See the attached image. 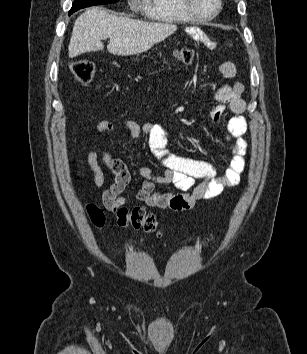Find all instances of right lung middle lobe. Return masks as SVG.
Returning <instances> with one entry per match:
<instances>
[{
	"label": "right lung middle lobe",
	"instance_id": "1",
	"mask_svg": "<svg viewBox=\"0 0 307 354\" xmlns=\"http://www.w3.org/2000/svg\"><path fill=\"white\" fill-rule=\"evenodd\" d=\"M118 0H75L73 2L72 8L69 11V15H71L73 12L85 8V7H89V6H93V5H100V4H109V3H115Z\"/></svg>",
	"mask_w": 307,
	"mask_h": 354
}]
</instances>
